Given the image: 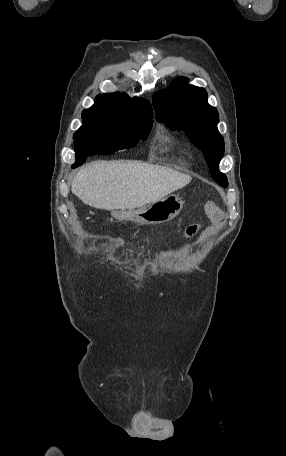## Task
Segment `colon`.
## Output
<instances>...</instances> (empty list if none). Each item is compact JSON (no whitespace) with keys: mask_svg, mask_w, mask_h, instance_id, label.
<instances>
[{"mask_svg":"<svg viewBox=\"0 0 286 456\" xmlns=\"http://www.w3.org/2000/svg\"><path fill=\"white\" fill-rule=\"evenodd\" d=\"M206 209H207L208 211L214 210V209H215V204H214L213 202H208V203L206 204ZM191 227H193V226H191ZM189 228H190V227H189ZM189 228H188V229H189Z\"/></svg>","mask_w":286,"mask_h":456,"instance_id":"5ec220e1","label":"colon"}]
</instances>
